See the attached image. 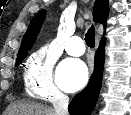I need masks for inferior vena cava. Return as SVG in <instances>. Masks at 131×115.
<instances>
[{
	"instance_id": "obj_1",
	"label": "inferior vena cava",
	"mask_w": 131,
	"mask_h": 115,
	"mask_svg": "<svg viewBox=\"0 0 131 115\" xmlns=\"http://www.w3.org/2000/svg\"><path fill=\"white\" fill-rule=\"evenodd\" d=\"M56 115H68V96L58 93L52 101Z\"/></svg>"
}]
</instances>
